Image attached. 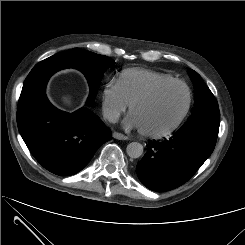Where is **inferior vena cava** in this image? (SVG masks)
<instances>
[{"label": "inferior vena cava", "mask_w": 245, "mask_h": 245, "mask_svg": "<svg viewBox=\"0 0 245 245\" xmlns=\"http://www.w3.org/2000/svg\"><path fill=\"white\" fill-rule=\"evenodd\" d=\"M104 117L111 123H116L119 119V113L115 111L104 112Z\"/></svg>", "instance_id": "1"}]
</instances>
